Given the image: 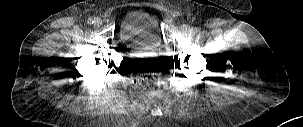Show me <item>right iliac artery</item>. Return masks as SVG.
I'll return each mask as SVG.
<instances>
[{
    "label": "right iliac artery",
    "instance_id": "1",
    "mask_svg": "<svg viewBox=\"0 0 303 127\" xmlns=\"http://www.w3.org/2000/svg\"><path fill=\"white\" fill-rule=\"evenodd\" d=\"M94 21H95V19H93V18H88L87 23L91 25V24L94 23Z\"/></svg>",
    "mask_w": 303,
    "mask_h": 127
}]
</instances>
